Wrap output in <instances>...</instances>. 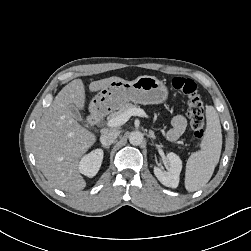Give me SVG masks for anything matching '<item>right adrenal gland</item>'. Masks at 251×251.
Wrapping results in <instances>:
<instances>
[{
	"label": "right adrenal gland",
	"instance_id": "obj_1",
	"mask_svg": "<svg viewBox=\"0 0 251 251\" xmlns=\"http://www.w3.org/2000/svg\"><path fill=\"white\" fill-rule=\"evenodd\" d=\"M103 148H105V149H109L110 147L109 146H102Z\"/></svg>",
	"mask_w": 251,
	"mask_h": 251
}]
</instances>
